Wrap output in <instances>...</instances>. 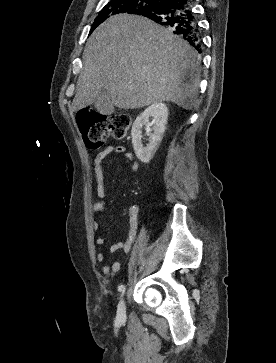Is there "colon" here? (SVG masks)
<instances>
[{"label":"colon","instance_id":"colon-1","mask_svg":"<svg viewBox=\"0 0 276 363\" xmlns=\"http://www.w3.org/2000/svg\"><path fill=\"white\" fill-rule=\"evenodd\" d=\"M77 123L87 147L96 150L103 145L107 137L125 139L131 118L124 113L99 114L83 108L77 112Z\"/></svg>","mask_w":276,"mask_h":363}]
</instances>
